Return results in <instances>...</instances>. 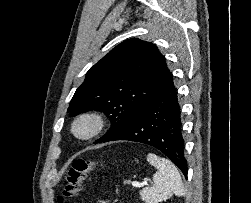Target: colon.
I'll list each match as a JSON object with an SVG mask.
<instances>
[{"label":"colon","instance_id":"1","mask_svg":"<svg viewBox=\"0 0 251 203\" xmlns=\"http://www.w3.org/2000/svg\"><path fill=\"white\" fill-rule=\"evenodd\" d=\"M97 164V160H75L67 170L60 199L65 200L77 196L82 189V182L86 175L92 171Z\"/></svg>","mask_w":251,"mask_h":203}]
</instances>
